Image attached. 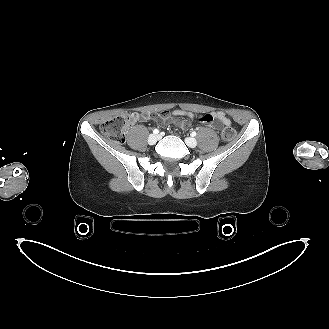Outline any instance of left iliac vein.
Instances as JSON below:
<instances>
[{
	"label": "left iliac vein",
	"instance_id": "obj_1",
	"mask_svg": "<svg viewBox=\"0 0 329 329\" xmlns=\"http://www.w3.org/2000/svg\"><path fill=\"white\" fill-rule=\"evenodd\" d=\"M160 138H161V136H160ZM185 142L190 148H195L197 146V141L195 138L187 137L185 139Z\"/></svg>",
	"mask_w": 329,
	"mask_h": 329
}]
</instances>
